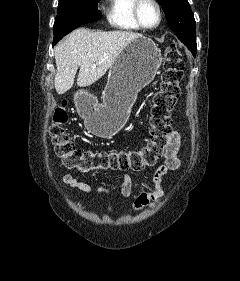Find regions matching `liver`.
Returning <instances> with one entry per match:
<instances>
[{"mask_svg": "<svg viewBox=\"0 0 240 281\" xmlns=\"http://www.w3.org/2000/svg\"><path fill=\"white\" fill-rule=\"evenodd\" d=\"M141 36L122 30L94 32L79 28L71 32L55 47L57 72L54 85L57 93L64 94L73 87L79 67L78 86L86 87L98 81L123 49Z\"/></svg>", "mask_w": 240, "mask_h": 281, "instance_id": "1", "label": "liver"}]
</instances>
